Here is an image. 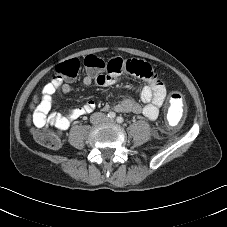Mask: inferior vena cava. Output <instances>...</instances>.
I'll return each instance as SVG.
<instances>
[{
    "mask_svg": "<svg viewBox=\"0 0 227 227\" xmlns=\"http://www.w3.org/2000/svg\"><path fill=\"white\" fill-rule=\"evenodd\" d=\"M98 116H101V117H102V116H103V114H101V113H97V114H95V115H94V117H98Z\"/></svg>",
    "mask_w": 227,
    "mask_h": 227,
    "instance_id": "602c4592",
    "label": "inferior vena cava"
}]
</instances>
